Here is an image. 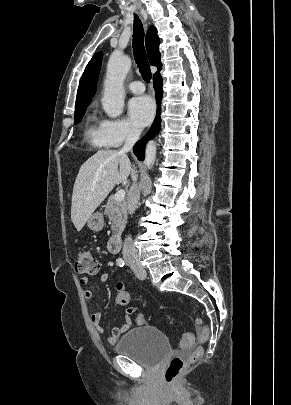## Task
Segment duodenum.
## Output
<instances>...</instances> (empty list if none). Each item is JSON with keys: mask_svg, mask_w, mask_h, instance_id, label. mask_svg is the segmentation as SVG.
<instances>
[{"mask_svg": "<svg viewBox=\"0 0 291 405\" xmlns=\"http://www.w3.org/2000/svg\"><path fill=\"white\" fill-rule=\"evenodd\" d=\"M121 244H122V238L120 234H115L114 236H112L108 243H107V249L111 252V253H117L120 251L121 249Z\"/></svg>", "mask_w": 291, "mask_h": 405, "instance_id": "duodenum-1", "label": "duodenum"}]
</instances>
